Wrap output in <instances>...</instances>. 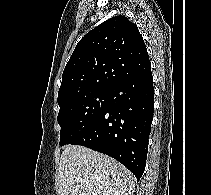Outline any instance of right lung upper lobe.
Returning <instances> with one entry per match:
<instances>
[{
  "label": "right lung upper lobe",
  "mask_w": 211,
  "mask_h": 195,
  "mask_svg": "<svg viewBox=\"0 0 211 195\" xmlns=\"http://www.w3.org/2000/svg\"><path fill=\"white\" fill-rule=\"evenodd\" d=\"M151 69L147 49L136 24L125 16L112 17L89 31L70 57L57 102L116 83Z\"/></svg>",
  "instance_id": "obj_1"
}]
</instances>
